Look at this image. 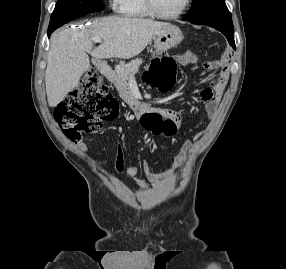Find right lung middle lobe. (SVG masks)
I'll use <instances>...</instances> for the list:
<instances>
[{
	"label": "right lung middle lobe",
	"mask_w": 286,
	"mask_h": 269,
	"mask_svg": "<svg viewBox=\"0 0 286 269\" xmlns=\"http://www.w3.org/2000/svg\"><path fill=\"white\" fill-rule=\"evenodd\" d=\"M104 7L102 0H57L48 29H57L90 12L103 10Z\"/></svg>",
	"instance_id": "right-lung-middle-lobe-1"
}]
</instances>
